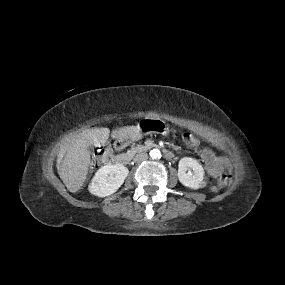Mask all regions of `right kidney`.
<instances>
[{"instance_id": "ca27d5eb", "label": "right kidney", "mask_w": 285, "mask_h": 285, "mask_svg": "<svg viewBox=\"0 0 285 285\" xmlns=\"http://www.w3.org/2000/svg\"><path fill=\"white\" fill-rule=\"evenodd\" d=\"M128 173V168L122 164L105 165L95 173L89 191L98 197L109 196L120 188Z\"/></svg>"}]
</instances>
